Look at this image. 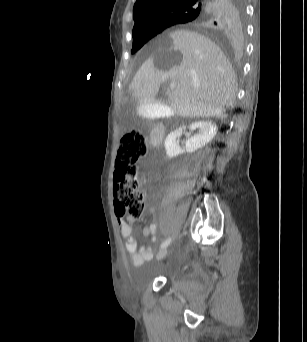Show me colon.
Masks as SVG:
<instances>
[{
	"label": "colon",
	"instance_id": "colon-1",
	"mask_svg": "<svg viewBox=\"0 0 307 342\" xmlns=\"http://www.w3.org/2000/svg\"><path fill=\"white\" fill-rule=\"evenodd\" d=\"M146 137L136 130H128L121 137L114 182V203L121 215L131 220L140 219L144 213L146 195L139 190L136 165L143 157Z\"/></svg>",
	"mask_w": 307,
	"mask_h": 342
}]
</instances>
